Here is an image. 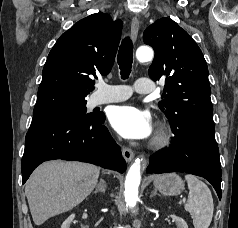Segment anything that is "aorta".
I'll return each instance as SVG.
<instances>
[{
	"label": "aorta",
	"instance_id": "obj_1",
	"mask_svg": "<svg viewBox=\"0 0 238 228\" xmlns=\"http://www.w3.org/2000/svg\"><path fill=\"white\" fill-rule=\"evenodd\" d=\"M153 56L154 52L148 46L139 47L136 51V58L142 63L151 61ZM141 162L142 159H136L126 175L124 197L129 207H134L138 200V188L141 181Z\"/></svg>",
	"mask_w": 238,
	"mask_h": 228
}]
</instances>
